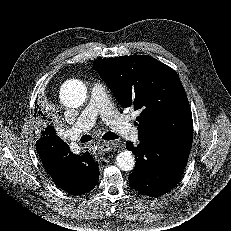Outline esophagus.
<instances>
[{"label": "esophagus", "instance_id": "1", "mask_svg": "<svg viewBox=\"0 0 231 231\" xmlns=\"http://www.w3.org/2000/svg\"><path fill=\"white\" fill-rule=\"evenodd\" d=\"M116 143L113 142V141H103L101 144H100V150L102 152H110L113 150V148L115 147Z\"/></svg>", "mask_w": 231, "mask_h": 231}]
</instances>
